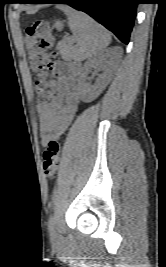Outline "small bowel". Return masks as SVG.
<instances>
[{
    "label": "small bowel",
    "mask_w": 166,
    "mask_h": 267,
    "mask_svg": "<svg viewBox=\"0 0 166 267\" xmlns=\"http://www.w3.org/2000/svg\"><path fill=\"white\" fill-rule=\"evenodd\" d=\"M54 69L59 75L58 94L51 102L41 105L38 109L41 141L44 145L67 129L75 116L79 103L75 86L79 68L58 61L55 63Z\"/></svg>",
    "instance_id": "small-bowel-1"
}]
</instances>
